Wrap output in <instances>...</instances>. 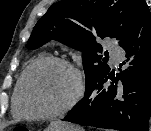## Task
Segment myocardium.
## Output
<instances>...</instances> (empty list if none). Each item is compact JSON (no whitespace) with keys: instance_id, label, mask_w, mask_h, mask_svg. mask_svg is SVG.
<instances>
[{"instance_id":"f54148a6","label":"myocardium","mask_w":151,"mask_h":131,"mask_svg":"<svg viewBox=\"0 0 151 131\" xmlns=\"http://www.w3.org/2000/svg\"><path fill=\"white\" fill-rule=\"evenodd\" d=\"M47 64H58L67 68L73 75L74 83H75L74 89L69 99L60 108L51 112H33L28 110L24 105V96H25L27 82L34 70ZM83 92H84V82H83L82 75L77 67H75L71 62H69L64 58H60L56 56L43 57L34 61L25 70L17 96V107L21 115L24 117L34 118V119H51L69 112L79 102V100L83 95Z\"/></svg>"}]
</instances>
